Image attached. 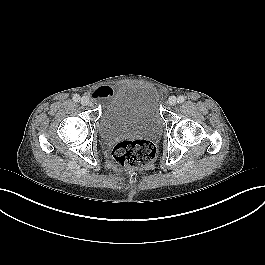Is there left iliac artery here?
I'll list each match as a JSON object with an SVG mask.
<instances>
[{"instance_id": "1", "label": "left iliac artery", "mask_w": 265, "mask_h": 265, "mask_svg": "<svg viewBox=\"0 0 265 265\" xmlns=\"http://www.w3.org/2000/svg\"><path fill=\"white\" fill-rule=\"evenodd\" d=\"M184 100H185V97H184V96H179V97L177 98V102H178V103H183Z\"/></svg>"}]
</instances>
